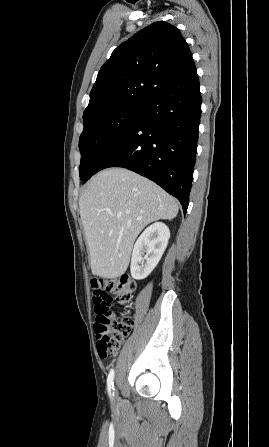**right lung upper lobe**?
Here are the masks:
<instances>
[{
    "label": "right lung upper lobe",
    "mask_w": 269,
    "mask_h": 447,
    "mask_svg": "<svg viewBox=\"0 0 269 447\" xmlns=\"http://www.w3.org/2000/svg\"><path fill=\"white\" fill-rule=\"evenodd\" d=\"M194 64L179 29L155 22L118 46L101 67L83 121L141 104L176 81Z\"/></svg>",
    "instance_id": "cb5924a9"
}]
</instances>
